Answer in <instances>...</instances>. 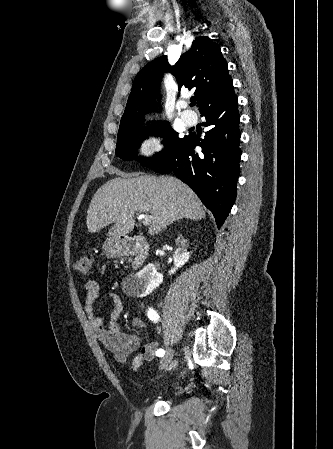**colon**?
<instances>
[{
  "instance_id": "1",
  "label": "colon",
  "mask_w": 333,
  "mask_h": 449,
  "mask_svg": "<svg viewBox=\"0 0 333 449\" xmlns=\"http://www.w3.org/2000/svg\"><path fill=\"white\" fill-rule=\"evenodd\" d=\"M91 265H92V259L89 255H84V256L79 257L74 263L75 269L83 275H86L89 273V271L91 269Z\"/></svg>"
}]
</instances>
